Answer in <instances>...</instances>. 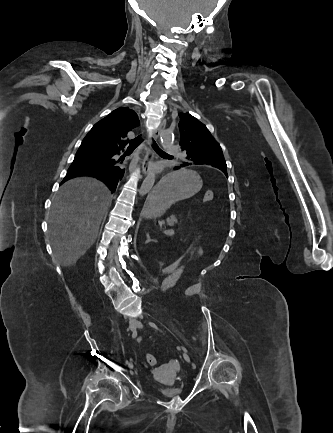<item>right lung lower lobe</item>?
I'll return each mask as SVG.
<instances>
[{"mask_svg":"<svg viewBox=\"0 0 333 433\" xmlns=\"http://www.w3.org/2000/svg\"><path fill=\"white\" fill-rule=\"evenodd\" d=\"M81 146L93 148V144L87 138ZM119 153L114 152L103 156L76 155L63 182L74 177L92 176L104 182L114 192L125 172L123 160L114 157Z\"/></svg>","mask_w":333,"mask_h":433,"instance_id":"right-lung-lower-lobe-1","label":"right lung lower lobe"}]
</instances>
